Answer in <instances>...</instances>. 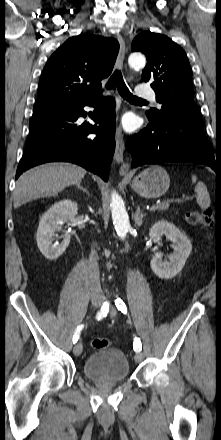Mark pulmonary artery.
<instances>
[{
	"label": "pulmonary artery",
	"mask_w": 221,
	"mask_h": 440,
	"mask_svg": "<svg viewBox=\"0 0 221 440\" xmlns=\"http://www.w3.org/2000/svg\"><path fill=\"white\" fill-rule=\"evenodd\" d=\"M136 95L140 99H149V100H155V92L151 88L144 87L142 85H139L136 89Z\"/></svg>",
	"instance_id": "pulmonary-artery-1"
}]
</instances>
